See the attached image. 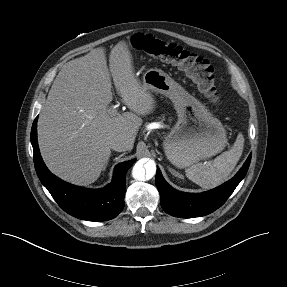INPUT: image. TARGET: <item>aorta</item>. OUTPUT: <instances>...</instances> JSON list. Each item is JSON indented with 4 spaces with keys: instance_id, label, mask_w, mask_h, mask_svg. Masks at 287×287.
I'll return each mask as SVG.
<instances>
[{
    "instance_id": "1",
    "label": "aorta",
    "mask_w": 287,
    "mask_h": 287,
    "mask_svg": "<svg viewBox=\"0 0 287 287\" xmlns=\"http://www.w3.org/2000/svg\"><path fill=\"white\" fill-rule=\"evenodd\" d=\"M156 173V164L153 160H140L133 169L132 176L135 180H145L146 178H152Z\"/></svg>"
}]
</instances>
